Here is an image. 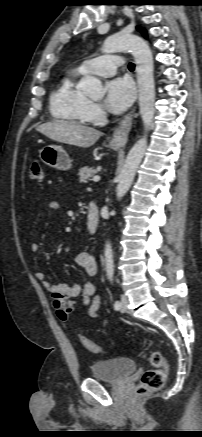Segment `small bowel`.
Segmentation results:
<instances>
[{
    "mask_svg": "<svg viewBox=\"0 0 202 437\" xmlns=\"http://www.w3.org/2000/svg\"><path fill=\"white\" fill-rule=\"evenodd\" d=\"M60 204L57 201L46 203L44 209L47 211L59 209ZM32 252L39 251V244L33 242L31 244ZM75 264L80 267L86 275L94 277L98 272V265L95 257L88 252H81L75 256ZM35 278L41 282L42 287L52 296L53 306L56 310L57 317L67 322L74 309L75 300L82 299V303L88 308V314L91 318L97 319L100 317V296L96 294V284L93 281H87L81 284H52L46 280V276L42 271H36Z\"/></svg>",
    "mask_w": 202,
    "mask_h": 437,
    "instance_id": "small-bowel-1",
    "label": "small bowel"
}]
</instances>
